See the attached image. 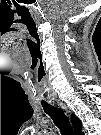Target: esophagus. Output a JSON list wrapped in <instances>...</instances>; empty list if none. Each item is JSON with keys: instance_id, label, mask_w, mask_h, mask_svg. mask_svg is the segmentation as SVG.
<instances>
[{"instance_id": "1", "label": "esophagus", "mask_w": 101, "mask_h": 135, "mask_svg": "<svg viewBox=\"0 0 101 135\" xmlns=\"http://www.w3.org/2000/svg\"><path fill=\"white\" fill-rule=\"evenodd\" d=\"M58 104H59L62 108H64V109L67 108V107L65 106V104H63L62 102H58Z\"/></svg>"}]
</instances>
